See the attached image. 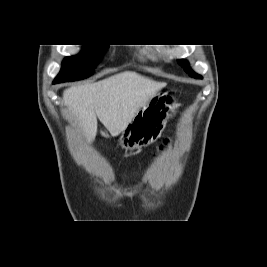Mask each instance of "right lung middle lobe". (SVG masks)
Returning a JSON list of instances; mask_svg holds the SVG:
<instances>
[{
    "instance_id": "dd1d6c3e",
    "label": "right lung middle lobe",
    "mask_w": 267,
    "mask_h": 267,
    "mask_svg": "<svg viewBox=\"0 0 267 267\" xmlns=\"http://www.w3.org/2000/svg\"><path fill=\"white\" fill-rule=\"evenodd\" d=\"M83 51L71 57H66L62 63V68L54 83L81 80L93 74V68L101 58L104 45H85Z\"/></svg>"
}]
</instances>
